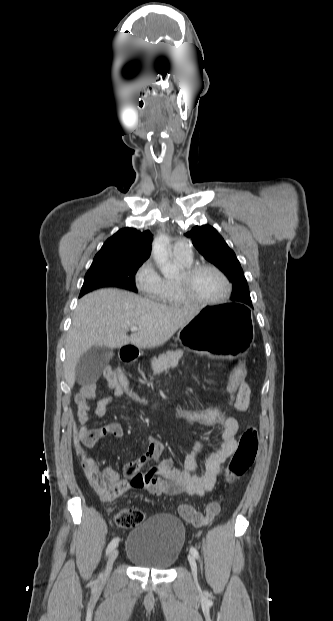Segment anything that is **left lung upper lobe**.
<instances>
[{"label": "left lung upper lobe", "instance_id": "1", "mask_svg": "<svg viewBox=\"0 0 333 621\" xmlns=\"http://www.w3.org/2000/svg\"><path fill=\"white\" fill-rule=\"evenodd\" d=\"M207 261L227 274L233 284L232 303L251 306L249 288L240 263L233 252L210 225L195 226L185 234Z\"/></svg>", "mask_w": 333, "mask_h": 621}]
</instances>
